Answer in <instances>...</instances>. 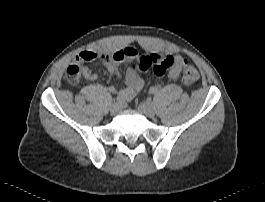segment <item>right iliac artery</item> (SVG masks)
<instances>
[{"label": "right iliac artery", "mask_w": 265, "mask_h": 202, "mask_svg": "<svg viewBox=\"0 0 265 202\" xmlns=\"http://www.w3.org/2000/svg\"><path fill=\"white\" fill-rule=\"evenodd\" d=\"M122 102H123V99H122L120 96H117V97L114 99V103L122 104Z\"/></svg>", "instance_id": "82829eb1"}]
</instances>
